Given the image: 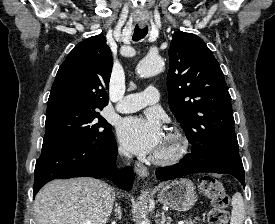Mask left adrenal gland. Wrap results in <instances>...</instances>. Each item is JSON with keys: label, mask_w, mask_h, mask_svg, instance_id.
<instances>
[{"label": "left adrenal gland", "mask_w": 275, "mask_h": 224, "mask_svg": "<svg viewBox=\"0 0 275 224\" xmlns=\"http://www.w3.org/2000/svg\"><path fill=\"white\" fill-rule=\"evenodd\" d=\"M160 224H171L170 222H167V221H166V217H165L164 212H162V221H161Z\"/></svg>", "instance_id": "left-adrenal-gland-1"}]
</instances>
